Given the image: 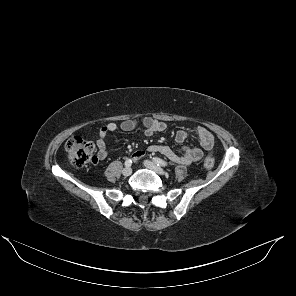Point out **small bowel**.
I'll list each match as a JSON object with an SVG mask.
<instances>
[{
	"label": "small bowel",
	"mask_w": 296,
	"mask_h": 296,
	"mask_svg": "<svg viewBox=\"0 0 296 296\" xmlns=\"http://www.w3.org/2000/svg\"><path fill=\"white\" fill-rule=\"evenodd\" d=\"M143 127L147 136H151L157 132H162L166 129V123L155 118L145 116L137 119H127L121 122L119 125L114 122H109L102 126L98 133L96 145L98 148V158L104 160L108 156L106 147V137L109 133L115 132L117 129H121L124 132H131L138 127ZM192 134H194L199 140V147H184L180 154L176 153L172 148L165 145H151L148 151L151 153H160L168 158L170 161L178 164H190L199 161L204 152L211 154L214 150V139L212 134L202 126L195 128L193 132L188 130H180L175 135V141L177 143H183ZM144 152H136L132 155L134 162H138L143 158Z\"/></svg>",
	"instance_id": "obj_1"
}]
</instances>
